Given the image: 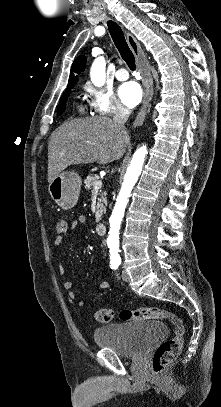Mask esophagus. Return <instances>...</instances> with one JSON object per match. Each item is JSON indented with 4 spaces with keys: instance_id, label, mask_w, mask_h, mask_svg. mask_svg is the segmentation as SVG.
Instances as JSON below:
<instances>
[{
    "instance_id": "esophagus-1",
    "label": "esophagus",
    "mask_w": 221,
    "mask_h": 407,
    "mask_svg": "<svg viewBox=\"0 0 221 407\" xmlns=\"http://www.w3.org/2000/svg\"><path fill=\"white\" fill-rule=\"evenodd\" d=\"M126 37H127V41L130 46V49L132 50V52L136 58L137 68L139 69V71L141 72V74L145 80V83H144L145 90H144V94H143L142 105H141V107L138 111V114L135 118V121H134V127H138V126H141L144 122L147 108H148L149 103L152 98V94H153L152 79H151L150 71H149L147 65L145 64V62L143 61L142 50H141V46H140L139 42L129 32H126Z\"/></svg>"
}]
</instances>
